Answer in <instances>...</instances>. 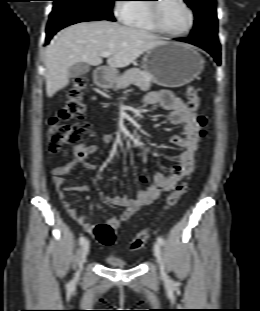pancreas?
I'll use <instances>...</instances> for the list:
<instances>
[{
    "label": "pancreas",
    "instance_id": "cf45deb5",
    "mask_svg": "<svg viewBox=\"0 0 260 311\" xmlns=\"http://www.w3.org/2000/svg\"><path fill=\"white\" fill-rule=\"evenodd\" d=\"M152 80L149 79L140 69L131 68L125 71L114 81V90L125 88L130 84L139 87L141 91H148L151 87Z\"/></svg>",
    "mask_w": 260,
    "mask_h": 311
}]
</instances>
